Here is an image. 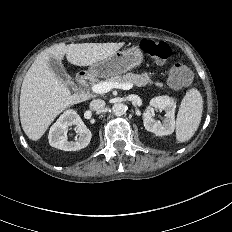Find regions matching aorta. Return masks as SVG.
Wrapping results in <instances>:
<instances>
[{"label":"aorta","instance_id":"762f6f07","mask_svg":"<svg viewBox=\"0 0 232 232\" xmlns=\"http://www.w3.org/2000/svg\"><path fill=\"white\" fill-rule=\"evenodd\" d=\"M126 106L123 103H115L112 107V112L116 116H121L125 113Z\"/></svg>","mask_w":232,"mask_h":232}]
</instances>
